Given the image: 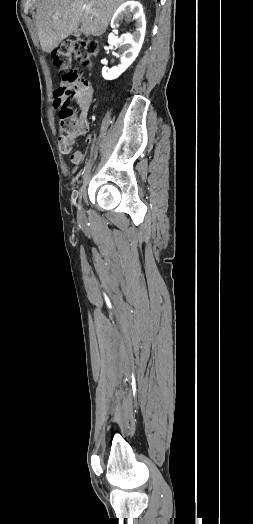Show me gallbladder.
I'll use <instances>...</instances> for the list:
<instances>
[{
	"mask_svg": "<svg viewBox=\"0 0 253 524\" xmlns=\"http://www.w3.org/2000/svg\"><path fill=\"white\" fill-rule=\"evenodd\" d=\"M80 32H81L80 29H78V30H76V31L74 32V35H78Z\"/></svg>",
	"mask_w": 253,
	"mask_h": 524,
	"instance_id": "1",
	"label": "gallbladder"
}]
</instances>
